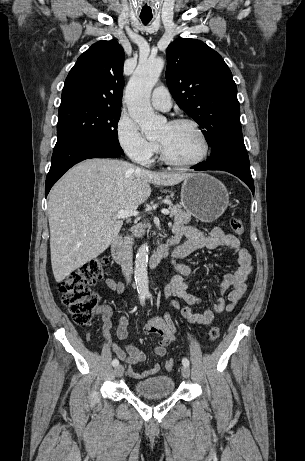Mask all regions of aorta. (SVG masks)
Returning a JSON list of instances; mask_svg holds the SVG:
<instances>
[{
	"label": "aorta",
	"mask_w": 305,
	"mask_h": 461,
	"mask_svg": "<svg viewBox=\"0 0 305 461\" xmlns=\"http://www.w3.org/2000/svg\"><path fill=\"white\" fill-rule=\"evenodd\" d=\"M163 67L164 61L161 58L140 62L126 87L125 100L129 115L148 139L158 136L166 123V118L155 114L150 105L151 91ZM148 254V245L142 244L135 259L134 277L140 297L149 296Z\"/></svg>",
	"instance_id": "aorta-1"
}]
</instances>
